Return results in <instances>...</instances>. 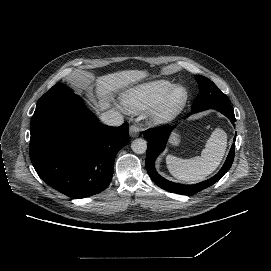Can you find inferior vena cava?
<instances>
[{
	"label": "inferior vena cava",
	"mask_w": 271,
	"mask_h": 271,
	"mask_svg": "<svg viewBox=\"0 0 271 271\" xmlns=\"http://www.w3.org/2000/svg\"><path fill=\"white\" fill-rule=\"evenodd\" d=\"M100 119L109 126H120L124 122L123 116L115 110H108L102 113Z\"/></svg>",
	"instance_id": "1"
}]
</instances>
